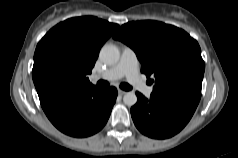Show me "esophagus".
Masks as SVG:
<instances>
[{
  "label": "esophagus",
  "instance_id": "34e87169",
  "mask_svg": "<svg viewBox=\"0 0 238 158\" xmlns=\"http://www.w3.org/2000/svg\"><path fill=\"white\" fill-rule=\"evenodd\" d=\"M118 94H119V95H124V94H126V91L121 90V89H118Z\"/></svg>",
  "mask_w": 238,
  "mask_h": 158
}]
</instances>
